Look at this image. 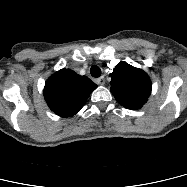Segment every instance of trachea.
Wrapping results in <instances>:
<instances>
[{
  "instance_id": "3493384b",
  "label": "trachea",
  "mask_w": 187,
  "mask_h": 187,
  "mask_svg": "<svg viewBox=\"0 0 187 187\" xmlns=\"http://www.w3.org/2000/svg\"><path fill=\"white\" fill-rule=\"evenodd\" d=\"M90 73L93 77L98 78L101 75V69L97 65H93L90 68Z\"/></svg>"
}]
</instances>
